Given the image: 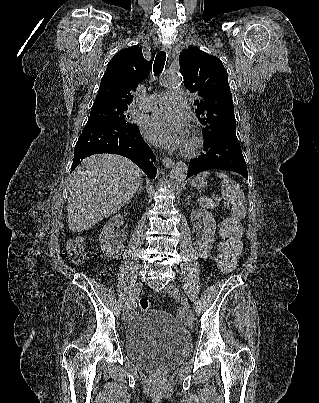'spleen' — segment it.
Here are the masks:
<instances>
[{
    "label": "spleen",
    "instance_id": "1",
    "mask_svg": "<svg viewBox=\"0 0 319 403\" xmlns=\"http://www.w3.org/2000/svg\"><path fill=\"white\" fill-rule=\"evenodd\" d=\"M209 172H202L196 177L205 178ZM216 176L221 180V194L224 200L232 205V218L234 220H242L247 213V200L240 186L231 179L228 175L222 172H217ZM197 202L201 208L213 209L216 204L212 198L199 197Z\"/></svg>",
    "mask_w": 319,
    "mask_h": 403
}]
</instances>
